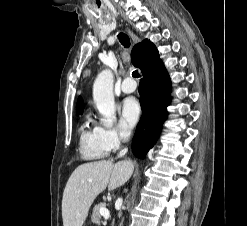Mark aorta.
<instances>
[{
  "label": "aorta",
  "instance_id": "762f6f07",
  "mask_svg": "<svg viewBox=\"0 0 247 226\" xmlns=\"http://www.w3.org/2000/svg\"><path fill=\"white\" fill-rule=\"evenodd\" d=\"M113 82L112 72L105 69L98 74L93 84V100L102 115L101 123L106 127L113 125L116 112Z\"/></svg>",
  "mask_w": 247,
  "mask_h": 226
}]
</instances>
